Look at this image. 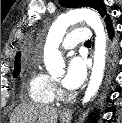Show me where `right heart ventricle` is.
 Returning <instances> with one entry per match:
<instances>
[{"instance_id":"obj_1","label":"right heart ventricle","mask_w":122,"mask_h":123,"mask_svg":"<svg viewBox=\"0 0 122 123\" xmlns=\"http://www.w3.org/2000/svg\"><path fill=\"white\" fill-rule=\"evenodd\" d=\"M29 98L39 104H50L55 97V85L52 78L38 68H34L27 84Z\"/></svg>"}]
</instances>
